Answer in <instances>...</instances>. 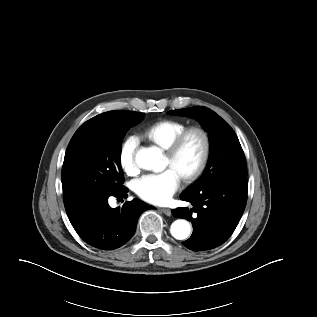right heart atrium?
I'll return each mask as SVG.
<instances>
[{
	"mask_svg": "<svg viewBox=\"0 0 317 317\" xmlns=\"http://www.w3.org/2000/svg\"><path fill=\"white\" fill-rule=\"evenodd\" d=\"M138 146L139 140L134 135L126 137L121 144L118 160L121 168L128 175H134L138 171V164L136 161Z\"/></svg>",
	"mask_w": 317,
	"mask_h": 317,
	"instance_id": "d8ad5b80",
	"label": "right heart atrium"
}]
</instances>
